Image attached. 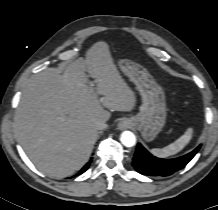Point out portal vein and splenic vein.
<instances>
[{"instance_id": "1", "label": "portal vein and splenic vein", "mask_w": 218, "mask_h": 210, "mask_svg": "<svg viewBox=\"0 0 218 210\" xmlns=\"http://www.w3.org/2000/svg\"><path fill=\"white\" fill-rule=\"evenodd\" d=\"M91 85L93 86V84H91ZM61 118H62V119H65V115H63Z\"/></svg>"}]
</instances>
